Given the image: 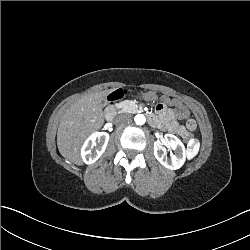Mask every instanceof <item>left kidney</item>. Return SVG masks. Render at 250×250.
Masks as SVG:
<instances>
[{
  "label": "left kidney",
  "mask_w": 250,
  "mask_h": 250,
  "mask_svg": "<svg viewBox=\"0 0 250 250\" xmlns=\"http://www.w3.org/2000/svg\"><path fill=\"white\" fill-rule=\"evenodd\" d=\"M163 143L175 150L176 155L167 158L165 148L159 142H154V156L165 168L177 170L181 168L186 159L184 144L173 134H165Z\"/></svg>",
  "instance_id": "obj_1"
}]
</instances>
